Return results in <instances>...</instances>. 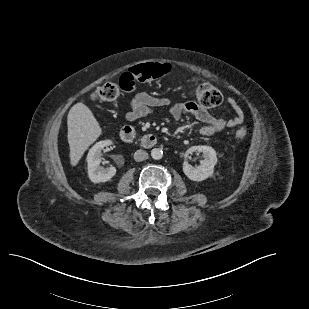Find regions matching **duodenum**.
I'll use <instances>...</instances> for the list:
<instances>
[{"mask_svg": "<svg viewBox=\"0 0 309 309\" xmlns=\"http://www.w3.org/2000/svg\"><path fill=\"white\" fill-rule=\"evenodd\" d=\"M120 138L125 143H132L139 140L140 144L145 148H151L157 144V137L152 133L138 135L136 130L131 126H124L120 131Z\"/></svg>", "mask_w": 309, "mask_h": 309, "instance_id": "duodenum-1", "label": "duodenum"}]
</instances>
